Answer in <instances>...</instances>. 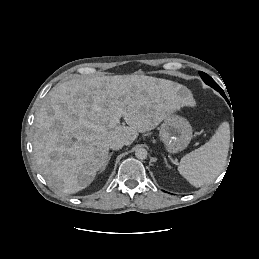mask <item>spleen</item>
Returning a JSON list of instances; mask_svg holds the SVG:
<instances>
[{
	"label": "spleen",
	"instance_id": "spleen-1",
	"mask_svg": "<svg viewBox=\"0 0 259 259\" xmlns=\"http://www.w3.org/2000/svg\"><path fill=\"white\" fill-rule=\"evenodd\" d=\"M229 145L230 127L223 122L208 142L181 159L179 173L195 187L211 183L226 166Z\"/></svg>",
	"mask_w": 259,
	"mask_h": 259
}]
</instances>
